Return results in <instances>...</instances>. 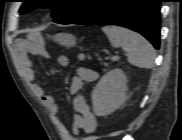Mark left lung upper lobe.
Returning a JSON list of instances; mask_svg holds the SVG:
<instances>
[{"label":"left lung upper lobe","mask_w":182,"mask_h":140,"mask_svg":"<svg viewBox=\"0 0 182 140\" xmlns=\"http://www.w3.org/2000/svg\"><path fill=\"white\" fill-rule=\"evenodd\" d=\"M20 13L39 7L52 8L53 18L59 24H71L89 13L101 0H22Z\"/></svg>","instance_id":"1"}]
</instances>
